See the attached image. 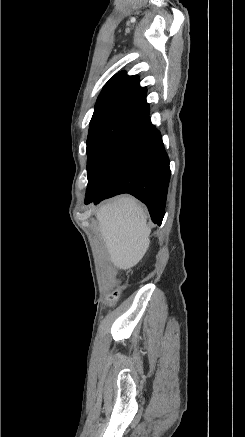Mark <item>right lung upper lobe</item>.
<instances>
[{
    "label": "right lung upper lobe",
    "instance_id": "right-lung-upper-lobe-1",
    "mask_svg": "<svg viewBox=\"0 0 245 437\" xmlns=\"http://www.w3.org/2000/svg\"><path fill=\"white\" fill-rule=\"evenodd\" d=\"M147 90L139 85L137 75L128 76L124 71L113 76L100 93L95 108L107 105H124L130 108L149 112L146 102Z\"/></svg>",
    "mask_w": 245,
    "mask_h": 437
}]
</instances>
